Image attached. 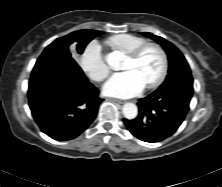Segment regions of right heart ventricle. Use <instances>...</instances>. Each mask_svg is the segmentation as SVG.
Instances as JSON below:
<instances>
[{
  "instance_id": "1",
  "label": "right heart ventricle",
  "mask_w": 222,
  "mask_h": 187,
  "mask_svg": "<svg viewBox=\"0 0 222 187\" xmlns=\"http://www.w3.org/2000/svg\"><path fill=\"white\" fill-rule=\"evenodd\" d=\"M106 43L113 49L127 55L140 45L146 43V40L132 34H117L109 37Z\"/></svg>"
}]
</instances>
